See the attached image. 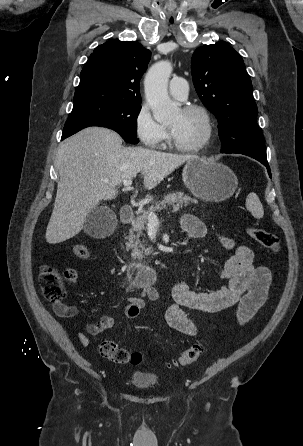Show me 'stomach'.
I'll return each mask as SVG.
<instances>
[{
  "label": "stomach",
  "mask_w": 303,
  "mask_h": 446,
  "mask_svg": "<svg viewBox=\"0 0 303 446\" xmlns=\"http://www.w3.org/2000/svg\"><path fill=\"white\" fill-rule=\"evenodd\" d=\"M182 179L195 197L211 202L230 198L238 186L237 176L229 167L199 157L187 161Z\"/></svg>",
  "instance_id": "stomach-1"
}]
</instances>
